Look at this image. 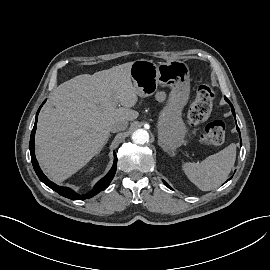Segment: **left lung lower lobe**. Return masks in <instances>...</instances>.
Returning <instances> with one entry per match:
<instances>
[{"label":"left lung lower lobe","instance_id":"obj_1","mask_svg":"<svg viewBox=\"0 0 270 270\" xmlns=\"http://www.w3.org/2000/svg\"><path fill=\"white\" fill-rule=\"evenodd\" d=\"M225 100L230 104V106H231V108H232V113H233V115L235 116V111H234L233 105L231 104V102H230L226 97H225ZM237 130H238V132L240 133L238 126H237ZM164 184H165L168 188H170L169 185H168L165 181H164ZM170 189H171V188H170Z\"/></svg>","mask_w":270,"mask_h":270}]
</instances>
